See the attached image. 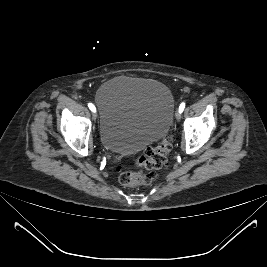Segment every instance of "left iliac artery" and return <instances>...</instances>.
Returning a JSON list of instances; mask_svg holds the SVG:
<instances>
[{
  "instance_id": "44dca946",
  "label": "left iliac artery",
  "mask_w": 267,
  "mask_h": 267,
  "mask_svg": "<svg viewBox=\"0 0 267 267\" xmlns=\"http://www.w3.org/2000/svg\"><path fill=\"white\" fill-rule=\"evenodd\" d=\"M185 108V103H181L179 106V112L182 113Z\"/></svg>"
}]
</instances>
